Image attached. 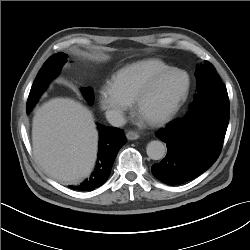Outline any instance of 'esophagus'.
<instances>
[{
  "label": "esophagus",
  "mask_w": 250,
  "mask_h": 250,
  "mask_svg": "<svg viewBox=\"0 0 250 250\" xmlns=\"http://www.w3.org/2000/svg\"><path fill=\"white\" fill-rule=\"evenodd\" d=\"M126 137L128 140H136L139 138V134L137 132H134V131H128L126 133Z\"/></svg>",
  "instance_id": "1"
}]
</instances>
